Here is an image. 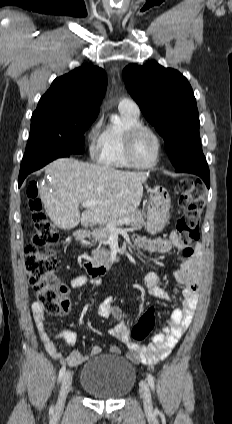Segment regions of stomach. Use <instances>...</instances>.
Segmentation results:
<instances>
[{
    "mask_svg": "<svg viewBox=\"0 0 232 424\" xmlns=\"http://www.w3.org/2000/svg\"><path fill=\"white\" fill-rule=\"evenodd\" d=\"M170 208L171 199L165 188L156 186L150 189L146 222V228L150 234L154 235L163 230L169 217Z\"/></svg>",
    "mask_w": 232,
    "mask_h": 424,
    "instance_id": "1",
    "label": "stomach"
}]
</instances>
